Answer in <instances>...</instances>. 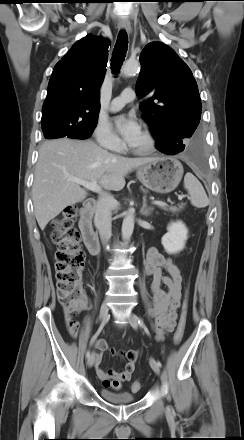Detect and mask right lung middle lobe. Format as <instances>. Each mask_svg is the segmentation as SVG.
<instances>
[{"instance_id": "right-lung-middle-lobe-1", "label": "right lung middle lobe", "mask_w": 244, "mask_h": 440, "mask_svg": "<svg viewBox=\"0 0 244 440\" xmlns=\"http://www.w3.org/2000/svg\"><path fill=\"white\" fill-rule=\"evenodd\" d=\"M97 120L76 125L71 121L49 120L42 121V130L46 139L68 137L73 139H87L93 133Z\"/></svg>"}]
</instances>
